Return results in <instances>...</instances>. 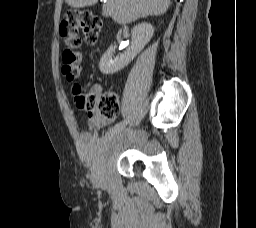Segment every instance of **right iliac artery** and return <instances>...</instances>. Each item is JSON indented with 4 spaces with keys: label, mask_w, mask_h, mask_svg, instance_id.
Wrapping results in <instances>:
<instances>
[{
    "label": "right iliac artery",
    "mask_w": 256,
    "mask_h": 228,
    "mask_svg": "<svg viewBox=\"0 0 256 228\" xmlns=\"http://www.w3.org/2000/svg\"><path fill=\"white\" fill-rule=\"evenodd\" d=\"M127 123H128V120H123V121L117 123V124L114 126L113 129L117 131L118 129L124 128V127L127 125Z\"/></svg>",
    "instance_id": "right-iliac-artery-1"
}]
</instances>
